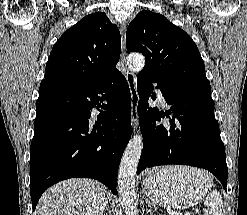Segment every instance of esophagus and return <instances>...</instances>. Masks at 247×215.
Returning a JSON list of instances; mask_svg holds the SVG:
<instances>
[{
	"label": "esophagus",
	"instance_id": "34e87169",
	"mask_svg": "<svg viewBox=\"0 0 247 215\" xmlns=\"http://www.w3.org/2000/svg\"><path fill=\"white\" fill-rule=\"evenodd\" d=\"M125 30L126 26L123 24L121 26V33H122V40H121V57L120 62L122 65L125 66L126 63V40H125ZM125 78L128 83L130 94H131V124L133 129L135 130L137 128L138 124V113H137V106L139 102V95L137 92V80L134 73H132L129 70H125Z\"/></svg>",
	"mask_w": 247,
	"mask_h": 215
}]
</instances>
